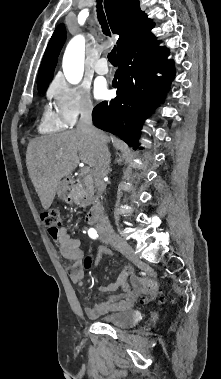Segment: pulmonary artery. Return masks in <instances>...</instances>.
<instances>
[{
	"label": "pulmonary artery",
	"mask_w": 221,
	"mask_h": 379,
	"mask_svg": "<svg viewBox=\"0 0 221 379\" xmlns=\"http://www.w3.org/2000/svg\"><path fill=\"white\" fill-rule=\"evenodd\" d=\"M94 70L97 74H100V75H105L109 72V68H108V65H107V60L106 58H101L99 59L95 66H94Z\"/></svg>",
	"instance_id": "obj_1"
}]
</instances>
